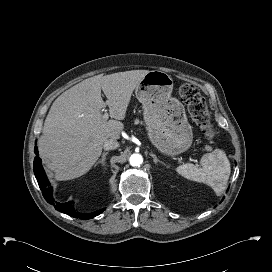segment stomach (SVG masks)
<instances>
[{
  "label": "stomach",
  "mask_w": 272,
  "mask_h": 272,
  "mask_svg": "<svg viewBox=\"0 0 272 272\" xmlns=\"http://www.w3.org/2000/svg\"><path fill=\"white\" fill-rule=\"evenodd\" d=\"M172 90L173 79L159 70L149 71L135 89L150 141L161 153L170 156L185 152L193 141L184 106L171 96Z\"/></svg>",
  "instance_id": "stomach-1"
}]
</instances>
